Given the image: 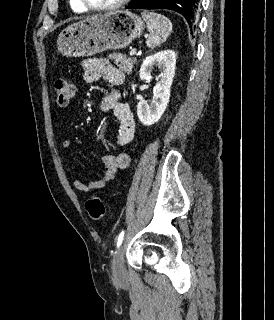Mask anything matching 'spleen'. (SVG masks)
Segmentation results:
<instances>
[{"mask_svg": "<svg viewBox=\"0 0 274 320\" xmlns=\"http://www.w3.org/2000/svg\"><path fill=\"white\" fill-rule=\"evenodd\" d=\"M141 16L144 22H146L149 32V38L146 42L147 46H149V48H155V46H159L162 42H166V38L170 36L172 30L170 20H168L166 16L149 12V10L141 12Z\"/></svg>", "mask_w": 274, "mask_h": 320, "instance_id": "1", "label": "spleen"}]
</instances>
